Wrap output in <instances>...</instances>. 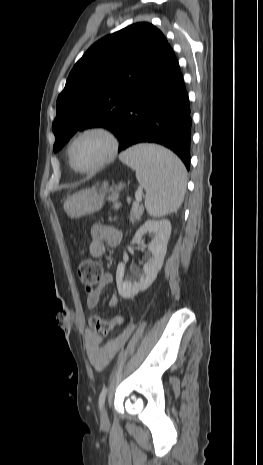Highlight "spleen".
I'll return each instance as SVG.
<instances>
[{
  "mask_svg": "<svg viewBox=\"0 0 263 465\" xmlns=\"http://www.w3.org/2000/svg\"><path fill=\"white\" fill-rule=\"evenodd\" d=\"M120 159L136 171V178L146 190L145 207L150 216L163 217L182 204L187 172L182 161L171 151L150 144L132 147Z\"/></svg>",
  "mask_w": 263,
  "mask_h": 465,
  "instance_id": "1",
  "label": "spleen"
}]
</instances>
